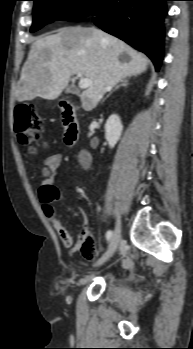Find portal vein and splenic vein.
I'll use <instances>...</instances> for the list:
<instances>
[{"instance_id":"obj_1","label":"portal vein and splenic vein","mask_w":193,"mask_h":349,"mask_svg":"<svg viewBox=\"0 0 193 349\" xmlns=\"http://www.w3.org/2000/svg\"><path fill=\"white\" fill-rule=\"evenodd\" d=\"M78 76L81 77L80 81H79V87L81 89H86V88H88L92 84V81L89 78L82 77L81 73H78Z\"/></svg>"}]
</instances>
